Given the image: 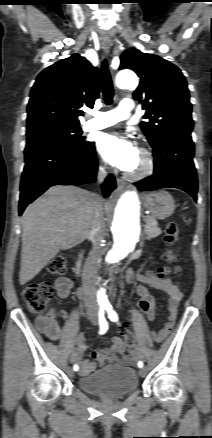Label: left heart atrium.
<instances>
[{
	"label": "left heart atrium",
	"instance_id": "1",
	"mask_svg": "<svg viewBox=\"0 0 212 438\" xmlns=\"http://www.w3.org/2000/svg\"><path fill=\"white\" fill-rule=\"evenodd\" d=\"M98 150L112 165L127 171L139 155L132 142L115 134H103L98 140Z\"/></svg>",
	"mask_w": 212,
	"mask_h": 438
}]
</instances>
